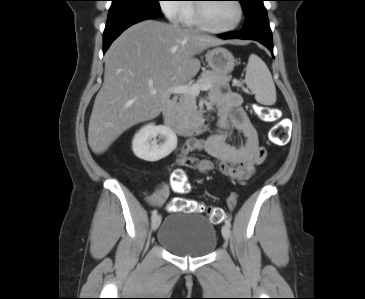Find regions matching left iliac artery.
<instances>
[{"label":"left iliac artery","mask_w":365,"mask_h":299,"mask_svg":"<svg viewBox=\"0 0 365 299\" xmlns=\"http://www.w3.org/2000/svg\"><path fill=\"white\" fill-rule=\"evenodd\" d=\"M225 224L228 225L229 227L231 226V223H230V220L229 219H226L225 220Z\"/></svg>","instance_id":"44dca946"}]
</instances>
